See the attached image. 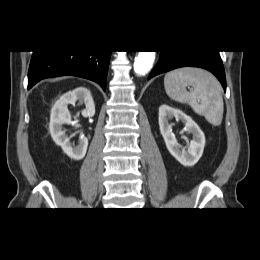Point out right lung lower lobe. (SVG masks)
Segmentation results:
<instances>
[{"mask_svg":"<svg viewBox=\"0 0 260 260\" xmlns=\"http://www.w3.org/2000/svg\"><path fill=\"white\" fill-rule=\"evenodd\" d=\"M111 51H34L28 73V89L45 78L72 75L106 89Z\"/></svg>","mask_w":260,"mask_h":260,"instance_id":"1","label":"right lung lower lobe"}]
</instances>
